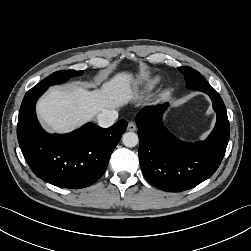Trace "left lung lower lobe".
I'll list each match as a JSON object with an SVG mask.
<instances>
[{
    "mask_svg": "<svg viewBox=\"0 0 251 251\" xmlns=\"http://www.w3.org/2000/svg\"><path fill=\"white\" fill-rule=\"evenodd\" d=\"M192 89L208 94L217 113L216 125L205 141L187 143L169 133L161 121L165 105L145 107L135 118L143 175L164 191L188 190L211 177L229 141L227 111L218 92L208 82Z\"/></svg>",
    "mask_w": 251,
    "mask_h": 251,
    "instance_id": "0a47b994",
    "label": "left lung lower lobe"
}]
</instances>
